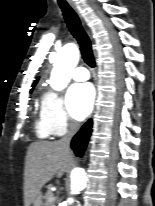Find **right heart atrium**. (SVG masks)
<instances>
[{
    "instance_id": "1",
    "label": "right heart atrium",
    "mask_w": 155,
    "mask_h": 206,
    "mask_svg": "<svg viewBox=\"0 0 155 206\" xmlns=\"http://www.w3.org/2000/svg\"><path fill=\"white\" fill-rule=\"evenodd\" d=\"M40 114L53 135L64 134L73 124L62 97L53 91L44 94Z\"/></svg>"
}]
</instances>
